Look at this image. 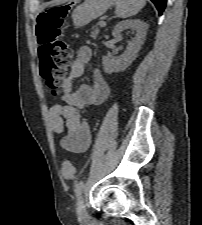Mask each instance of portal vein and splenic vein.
<instances>
[{
	"label": "portal vein and splenic vein",
	"mask_w": 202,
	"mask_h": 225,
	"mask_svg": "<svg viewBox=\"0 0 202 225\" xmlns=\"http://www.w3.org/2000/svg\"><path fill=\"white\" fill-rule=\"evenodd\" d=\"M99 25L101 27H104L106 25V22L104 21V19L99 22Z\"/></svg>",
	"instance_id": "18ae733b"
}]
</instances>
